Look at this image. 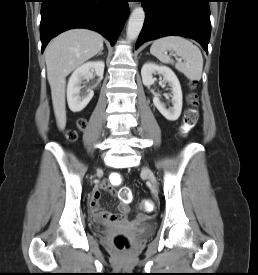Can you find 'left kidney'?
<instances>
[{"label": "left kidney", "mask_w": 258, "mask_h": 275, "mask_svg": "<svg viewBox=\"0 0 258 275\" xmlns=\"http://www.w3.org/2000/svg\"><path fill=\"white\" fill-rule=\"evenodd\" d=\"M156 73L161 74L164 81L171 86V102L173 107L167 109L165 104L161 102L158 95H154L153 103L167 120L175 121L180 117L182 111V90L180 82L175 73L169 67L149 62L145 63L141 69L143 84L145 86L152 85L154 83L153 74Z\"/></svg>", "instance_id": "5707ae66"}]
</instances>
